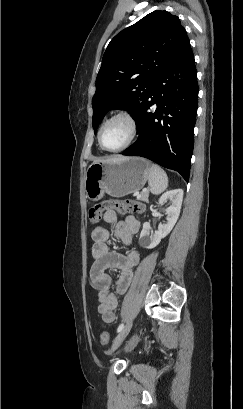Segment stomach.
<instances>
[{
  "instance_id": "0dacf381",
  "label": "stomach",
  "mask_w": 243,
  "mask_h": 409,
  "mask_svg": "<svg viewBox=\"0 0 243 409\" xmlns=\"http://www.w3.org/2000/svg\"><path fill=\"white\" fill-rule=\"evenodd\" d=\"M149 163L138 157H117L92 163L85 174L84 188L91 201L106 194L124 197L138 192L149 178Z\"/></svg>"
}]
</instances>
